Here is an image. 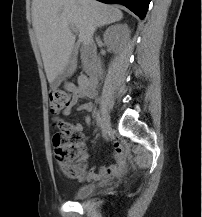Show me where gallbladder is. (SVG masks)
Returning a JSON list of instances; mask_svg holds the SVG:
<instances>
[{
    "instance_id": "bac80fb5",
    "label": "gallbladder",
    "mask_w": 202,
    "mask_h": 217,
    "mask_svg": "<svg viewBox=\"0 0 202 217\" xmlns=\"http://www.w3.org/2000/svg\"><path fill=\"white\" fill-rule=\"evenodd\" d=\"M76 53H72L64 70L56 77V79L51 83V87H58L60 83L67 78L71 77L76 70Z\"/></svg>"
}]
</instances>
